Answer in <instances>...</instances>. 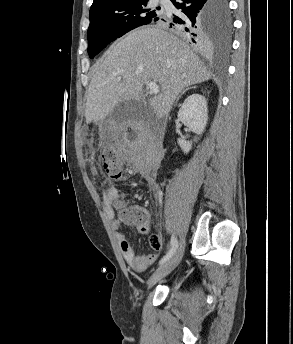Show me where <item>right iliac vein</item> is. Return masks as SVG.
I'll return each instance as SVG.
<instances>
[{
    "label": "right iliac vein",
    "instance_id": "obj_1",
    "mask_svg": "<svg viewBox=\"0 0 293 344\" xmlns=\"http://www.w3.org/2000/svg\"><path fill=\"white\" fill-rule=\"evenodd\" d=\"M184 253V240L182 239L180 245L174 255L160 266L148 280V288L153 287L157 282L166 277L179 264Z\"/></svg>",
    "mask_w": 293,
    "mask_h": 344
}]
</instances>
